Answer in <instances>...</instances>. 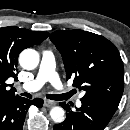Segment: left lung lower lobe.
Segmentation results:
<instances>
[{"instance_id":"0a47b994","label":"left lung lower lobe","mask_w":130,"mask_h":130,"mask_svg":"<svg viewBox=\"0 0 130 130\" xmlns=\"http://www.w3.org/2000/svg\"><path fill=\"white\" fill-rule=\"evenodd\" d=\"M82 106L72 111L69 104L61 102L67 116L53 130H103L115 113V109L100 101L81 99Z\"/></svg>"}]
</instances>
